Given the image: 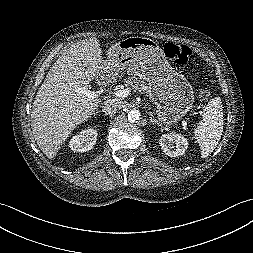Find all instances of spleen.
I'll list each match as a JSON object with an SVG mask.
<instances>
[{"label":"spleen","instance_id":"obj_1","mask_svg":"<svg viewBox=\"0 0 253 253\" xmlns=\"http://www.w3.org/2000/svg\"><path fill=\"white\" fill-rule=\"evenodd\" d=\"M223 121L222 101L220 97H215L205 107L202 121L195 130L202 158H207L219 143L223 132Z\"/></svg>","mask_w":253,"mask_h":253}]
</instances>
